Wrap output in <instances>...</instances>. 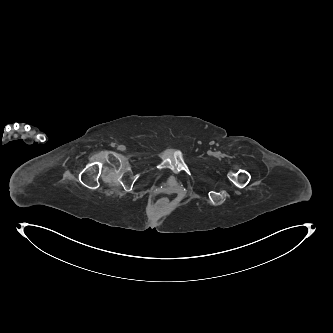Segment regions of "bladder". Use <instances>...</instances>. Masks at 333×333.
Segmentation results:
<instances>
[{"instance_id": "bladder-1", "label": "bladder", "mask_w": 333, "mask_h": 333, "mask_svg": "<svg viewBox=\"0 0 333 333\" xmlns=\"http://www.w3.org/2000/svg\"><path fill=\"white\" fill-rule=\"evenodd\" d=\"M170 179H175L174 176H170Z\"/></svg>"}]
</instances>
